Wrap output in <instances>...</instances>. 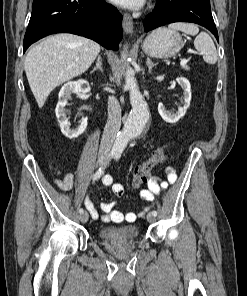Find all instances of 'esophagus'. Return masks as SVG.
Instances as JSON below:
<instances>
[{
	"label": "esophagus",
	"mask_w": 247,
	"mask_h": 296,
	"mask_svg": "<svg viewBox=\"0 0 247 296\" xmlns=\"http://www.w3.org/2000/svg\"><path fill=\"white\" fill-rule=\"evenodd\" d=\"M123 29L126 34H131L133 32V20L128 13L123 15Z\"/></svg>",
	"instance_id": "obj_1"
}]
</instances>
